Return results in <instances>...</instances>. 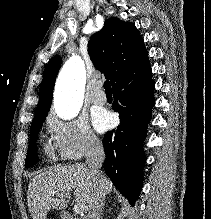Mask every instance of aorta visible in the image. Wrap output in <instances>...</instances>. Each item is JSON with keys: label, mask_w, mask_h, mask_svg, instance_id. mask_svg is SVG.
<instances>
[{"label": "aorta", "mask_w": 211, "mask_h": 219, "mask_svg": "<svg viewBox=\"0 0 211 219\" xmlns=\"http://www.w3.org/2000/svg\"><path fill=\"white\" fill-rule=\"evenodd\" d=\"M86 72L83 61L71 57L59 73L54 95L57 115L63 119L77 116L83 102Z\"/></svg>", "instance_id": "1"}]
</instances>
